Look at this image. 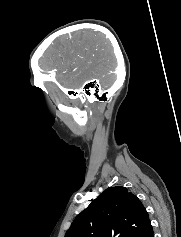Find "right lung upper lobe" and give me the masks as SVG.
Here are the masks:
<instances>
[{
	"instance_id": "cb5924a9",
	"label": "right lung upper lobe",
	"mask_w": 181,
	"mask_h": 237,
	"mask_svg": "<svg viewBox=\"0 0 181 237\" xmlns=\"http://www.w3.org/2000/svg\"><path fill=\"white\" fill-rule=\"evenodd\" d=\"M148 213L122 186L107 188L77 215L65 237H150Z\"/></svg>"
}]
</instances>
